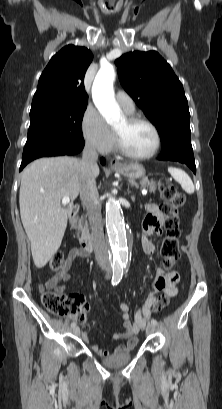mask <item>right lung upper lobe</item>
<instances>
[{
  "instance_id": "1",
  "label": "right lung upper lobe",
  "mask_w": 222,
  "mask_h": 409,
  "mask_svg": "<svg viewBox=\"0 0 222 409\" xmlns=\"http://www.w3.org/2000/svg\"><path fill=\"white\" fill-rule=\"evenodd\" d=\"M93 55L85 47L67 45L56 53L42 72L31 109L58 104L87 103L85 72Z\"/></svg>"
}]
</instances>
